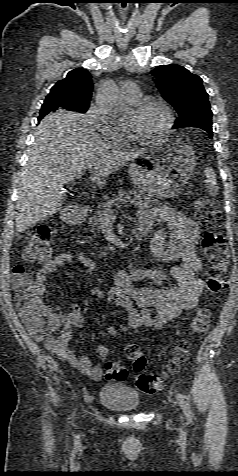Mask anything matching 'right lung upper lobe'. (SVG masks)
Instances as JSON below:
<instances>
[{"mask_svg": "<svg viewBox=\"0 0 238 476\" xmlns=\"http://www.w3.org/2000/svg\"><path fill=\"white\" fill-rule=\"evenodd\" d=\"M92 89V76L88 70L76 68L70 71L65 79L58 81L46 98L59 94L64 98L61 102L66 106L72 104L89 106Z\"/></svg>", "mask_w": 238, "mask_h": 476, "instance_id": "cb5924a9", "label": "right lung upper lobe"}]
</instances>
